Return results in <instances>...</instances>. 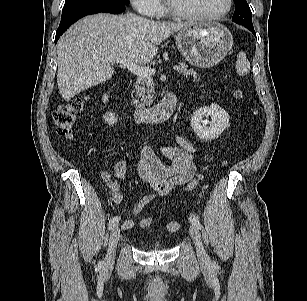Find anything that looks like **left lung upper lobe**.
I'll list each match as a JSON object with an SVG mask.
<instances>
[{
	"mask_svg": "<svg viewBox=\"0 0 307 301\" xmlns=\"http://www.w3.org/2000/svg\"><path fill=\"white\" fill-rule=\"evenodd\" d=\"M235 11L232 17V21L241 24L243 26H253L252 24V12L247 4L246 0H234Z\"/></svg>",
	"mask_w": 307,
	"mask_h": 301,
	"instance_id": "left-lung-upper-lobe-1",
	"label": "left lung upper lobe"
}]
</instances>
